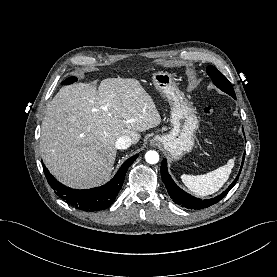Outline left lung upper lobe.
I'll return each instance as SVG.
<instances>
[{
	"label": "left lung upper lobe",
	"mask_w": 277,
	"mask_h": 277,
	"mask_svg": "<svg viewBox=\"0 0 277 277\" xmlns=\"http://www.w3.org/2000/svg\"><path fill=\"white\" fill-rule=\"evenodd\" d=\"M207 73L219 89L236 99L231 83L221 72H219L214 66L209 65L207 67Z\"/></svg>",
	"instance_id": "5c2ea615"
}]
</instances>
